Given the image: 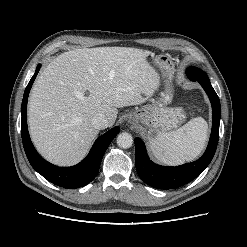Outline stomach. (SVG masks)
Returning a JSON list of instances; mask_svg holds the SVG:
<instances>
[{"label":"stomach","mask_w":247,"mask_h":247,"mask_svg":"<svg viewBox=\"0 0 247 247\" xmlns=\"http://www.w3.org/2000/svg\"><path fill=\"white\" fill-rule=\"evenodd\" d=\"M154 63L162 69H170L171 58L168 55H158L153 57ZM172 91L170 85H166V90L161 94V98L153 101L152 104L137 109L130 114L132 123L141 128H150L147 133L148 139L154 137L156 132H169L177 128L185 119L184 111L181 108L168 107L172 101Z\"/></svg>","instance_id":"stomach-1"}]
</instances>
